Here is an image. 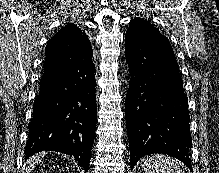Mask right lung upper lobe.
<instances>
[{"instance_id":"1","label":"right lung upper lobe","mask_w":219,"mask_h":173,"mask_svg":"<svg viewBox=\"0 0 219 173\" xmlns=\"http://www.w3.org/2000/svg\"><path fill=\"white\" fill-rule=\"evenodd\" d=\"M46 60H52L55 65H66L72 57L91 56V43L85 32L73 23L67 24L58 31L47 43Z\"/></svg>"}]
</instances>
